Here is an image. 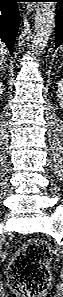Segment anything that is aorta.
<instances>
[{
    "label": "aorta",
    "instance_id": "1",
    "mask_svg": "<svg viewBox=\"0 0 63 297\" xmlns=\"http://www.w3.org/2000/svg\"><path fill=\"white\" fill-rule=\"evenodd\" d=\"M55 27V5L53 2L37 4L34 33L32 36L33 53L38 56L47 45Z\"/></svg>",
    "mask_w": 63,
    "mask_h": 297
}]
</instances>
